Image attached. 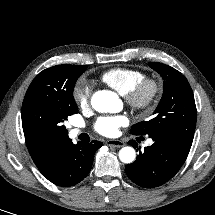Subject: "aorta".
Listing matches in <instances>:
<instances>
[{
  "instance_id": "762f6f07",
  "label": "aorta",
  "mask_w": 215,
  "mask_h": 215,
  "mask_svg": "<svg viewBox=\"0 0 215 215\" xmlns=\"http://www.w3.org/2000/svg\"><path fill=\"white\" fill-rule=\"evenodd\" d=\"M91 105L98 112L115 113L120 111L122 102L116 93L100 90L93 94ZM119 158L123 163H132L135 160V150L132 147H123L119 152Z\"/></svg>"
}]
</instances>
